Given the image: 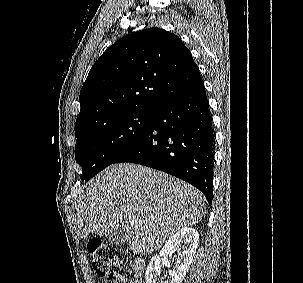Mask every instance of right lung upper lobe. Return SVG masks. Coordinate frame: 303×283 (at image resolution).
I'll return each mask as SVG.
<instances>
[{"mask_svg": "<svg viewBox=\"0 0 303 283\" xmlns=\"http://www.w3.org/2000/svg\"><path fill=\"white\" fill-rule=\"evenodd\" d=\"M202 80L181 39L160 28L123 37L95 62L80 92L75 132L131 111H153Z\"/></svg>", "mask_w": 303, "mask_h": 283, "instance_id": "cb5924a9", "label": "right lung upper lobe"}]
</instances>
